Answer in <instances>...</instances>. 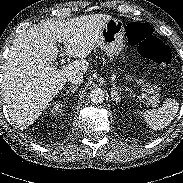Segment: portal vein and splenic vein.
<instances>
[{
    "instance_id": "portal-vein-and-splenic-vein-1",
    "label": "portal vein and splenic vein",
    "mask_w": 183,
    "mask_h": 183,
    "mask_svg": "<svg viewBox=\"0 0 183 183\" xmlns=\"http://www.w3.org/2000/svg\"><path fill=\"white\" fill-rule=\"evenodd\" d=\"M61 61H62V63H65V60H64V59H62ZM52 69L56 70L57 67H52ZM143 91H144L145 93H148V89H147V88L144 89ZM142 97L146 100L147 103L151 102V100L147 97L146 94L142 93Z\"/></svg>"
}]
</instances>
